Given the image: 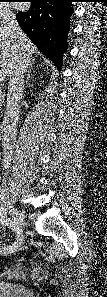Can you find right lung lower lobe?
<instances>
[{
	"mask_svg": "<svg viewBox=\"0 0 107 297\" xmlns=\"http://www.w3.org/2000/svg\"><path fill=\"white\" fill-rule=\"evenodd\" d=\"M27 12L16 17L22 30L57 69L62 66V57L67 49L69 20L73 13V0H31Z\"/></svg>",
	"mask_w": 107,
	"mask_h": 297,
	"instance_id": "obj_1",
	"label": "right lung lower lobe"
}]
</instances>
